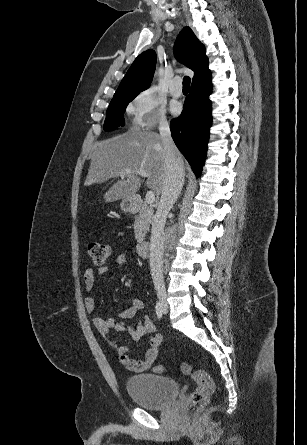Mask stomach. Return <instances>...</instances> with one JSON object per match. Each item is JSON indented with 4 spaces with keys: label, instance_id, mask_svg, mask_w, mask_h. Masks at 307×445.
I'll return each instance as SVG.
<instances>
[{
    "label": "stomach",
    "instance_id": "1",
    "mask_svg": "<svg viewBox=\"0 0 307 445\" xmlns=\"http://www.w3.org/2000/svg\"><path fill=\"white\" fill-rule=\"evenodd\" d=\"M120 206L124 212H128L131 202H128L127 198H123L122 202H120Z\"/></svg>",
    "mask_w": 307,
    "mask_h": 445
}]
</instances>
